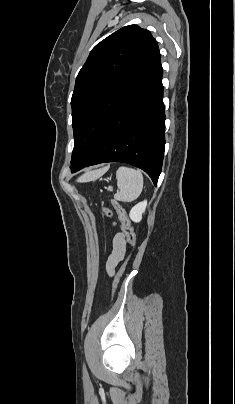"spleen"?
Returning <instances> with one entry per match:
<instances>
[{"mask_svg":"<svg viewBox=\"0 0 235 404\" xmlns=\"http://www.w3.org/2000/svg\"><path fill=\"white\" fill-rule=\"evenodd\" d=\"M117 186L120 189L114 198L122 202H132L139 197L143 189V175L140 170L120 167L117 170Z\"/></svg>","mask_w":235,"mask_h":404,"instance_id":"spleen-1","label":"spleen"}]
</instances>
